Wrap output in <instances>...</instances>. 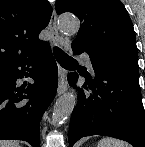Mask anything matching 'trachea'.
Segmentation results:
<instances>
[{
    "instance_id": "trachea-1",
    "label": "trachea",
    "mask_w": 145,
    "mask_h": 147,
    "mask_svg": "<svg viewBox=\"0 0 145 147\" xmlns=\"http://www.w3.org/2000/svg\"><path fill=\"white\" fill-rule=\"evenodd\" d=\"M53 54L57 61L62 65V66H70L76 64V60L70 57L68 54H66L64 51H62L58 47L53 48Z\"/></svg>"
}]
</instances>
